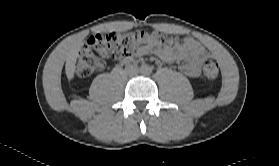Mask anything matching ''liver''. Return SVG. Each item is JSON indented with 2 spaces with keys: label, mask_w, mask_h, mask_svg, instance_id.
<instances>
[{
  "label": "liver",
  "mask_w": 279,
  "mask_h": 166,
  "mask_svg": "<svg viewBox=\"0 0 279 166\" xmlns=\"http://www.w3.org/2000/svg\"><path fill=\"white\" fill-rule=\"evenodd\" d=\"M82 40L77 41L73 47L69 50L66 56L65 72L69 80L74 77V72L76 69V60L79 55V49L82 45Z\"/></svg>",
  "instance_id": "obj_1"
}]
</instances>
